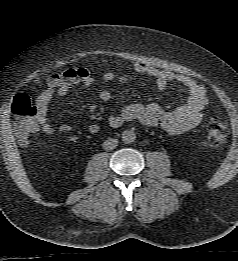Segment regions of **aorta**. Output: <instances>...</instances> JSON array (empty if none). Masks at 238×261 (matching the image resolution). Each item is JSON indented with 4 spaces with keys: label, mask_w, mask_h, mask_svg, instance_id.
Masks as SVG:
<instances>
[{
    "label": "aorta",
    "mask_w": 238,
    "mask_h": 261,
    "mask_svg": "<svg viewBox=\"0 0 238 261\" xmlns=\"http://www.w3.org/2000/svg\"><path fill=\"white\" fill-rule=\"evenodd\" d=\"M136 139V134L132 130H125L122 133V141L126 144L134 142Z\"/></svg>",
    "instance_id": "aorta-1"
}]
</instances>
